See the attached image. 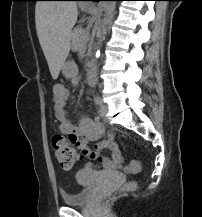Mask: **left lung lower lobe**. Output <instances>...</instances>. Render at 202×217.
Returning <instances> with one entry per match:
<instances>
[{
	"mask_svg": "<svg viewBox=\"0 0 202 217\" xmlns=\"http://www.w3.org/2000/svg\"><path fill=\"white\" fill-rule=\"evenodd\" d=\"M92 1H103V0H92ZM114 1H121V0H114Z\"/></svg>",
	"mask_w": 202,
	"mask_h": 217,
	"instance_id": "obj_1",
	"label": "left lung lower lobe"
}]
</instances>
